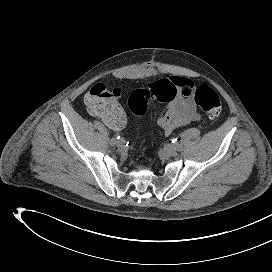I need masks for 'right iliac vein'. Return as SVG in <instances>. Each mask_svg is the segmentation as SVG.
I'll use <instances>...</instances> for the list:
<instances>
[{"label":"right iliac vein","instance_id":"right-iliac-vein-1","mask_svg":"<svg viewBox=\"0 0 272 272\" xmlns=\"http://www.w3.org/2000/svg\"><path fill=\"white\" fill-rule=\"evenodd\" d=\"M115 145L117 147H123L124 146V140L123 139L116 140Z\"/></svg>","mask_w":272,"mask_h":272}]
</instances>
